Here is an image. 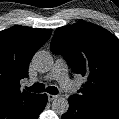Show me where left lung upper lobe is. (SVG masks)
Returning a JSON list of instances; mask_svg holds the SVG:
<instances>
[{
  "label": "left lung upper lobe",
  "mask_w": 119,
  "mask_h": 119,
  "mask_svg": "<svg viewBox=\"0 0 119 119\" xmlns=\"http://www.w3.org/2000/svg\"><path fill=\"white\" fill-rule=\"evenodd\" d=\"M51 51L61 54L72 71L87 78L72 97L119 115V39L88 22L57 28Z\"/></svg>",
  "instance_id": "5c2ea615"
}]
</instances>
